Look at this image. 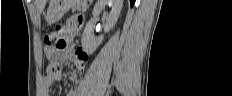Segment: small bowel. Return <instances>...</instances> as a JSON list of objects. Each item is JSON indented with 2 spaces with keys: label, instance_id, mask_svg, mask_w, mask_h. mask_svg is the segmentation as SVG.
Listing matches in <instances>:
<instances>
[{
  "label": "small bowel",
  "instance_id": "small-bowel-1",
  "mask_svg": "<svg viewBox=\"0 0 232 96\" xmlns=\"http://www.w3.org/2000/svg\"><path fill=\"white\" fill-rule=\"evenodd\" d=\"M72 15H68V20H72V22H68V25L65 29V34L67 38H65V43H77V38H74V35H82V26L83 20H86V11H73L71 13ZM77 14V15H76ZM70 57L73 58L75 61V65L77 69L81 72L84 71L87 63V56L86 53L82 49H74L70 51ZM51 69H49L50 71ZM62 73L60 69L55 73H47L46 76L43 79V85H42V93L43 95H49L50 87L51 85L61 80ZM69 96H77V91L75 89H71Z\"/></svg>",
  "mask_w": 232,
  "mask_h": 96
}]
</instances>
